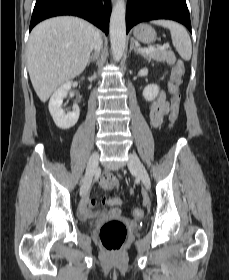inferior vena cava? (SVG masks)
<instances>
[{"label":"inferior vena cava","mask_w":229,"mask_h":280,"mask_svg":"<svg viewBox=\"0 0 229 280\" xmlns=\"http://www.w3.org/2000/svg\"><path fill=\"white\" fill-rule=\"evenodd\" d=\"M102 46V39L98 31L95 32L92 47L95 49V52H99Z\"/></svg>","instance_id":"obj_1"}]
</instances>
